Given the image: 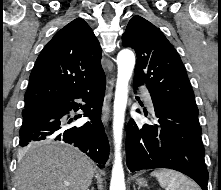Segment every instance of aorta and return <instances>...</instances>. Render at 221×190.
I'll use <instances>...</instances> for the list:
<instances>
[{
	"label": "aorta",
	"instance_id": "aorta-1",
	"mask_svg": "<svg viewBox=\"0 0 221 190\" xmlns=\"http://www.w3.org/2000/svg\"><path fill=\"white\" fill-rule=\"evenodd\" d=\"M117 82L113 106V137L115 159L112 168L110 190H126L124 170L121 158L122 134L125 111L128 99V83L135 66V56L128 49L121 50L117 55Z\"/></svg>",
	"mask_w": 221,
	"mask_h": 190
}]
</instances>
